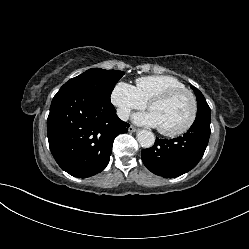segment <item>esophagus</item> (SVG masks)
Returning a JSON list of instances; mask_svg holds the SVG:
<instances>
[{"instance_id": "34e87169", "label": "esophagus", "mask_w": 249, "mask_h": 249, "mask_svg": "<svg viewBox=\"0 0 249 249\" xmlns=\"http://www.w3.org/2000/svg\"><path fill=\"white\" fill-rule=\"evenodd\" d=\"M128 131H129V132H137L138 129H137L136 127H134V126H130V127L128 128Z\"/></svg>"}]
</instances>
